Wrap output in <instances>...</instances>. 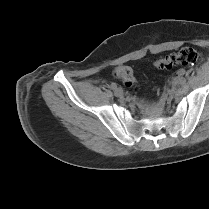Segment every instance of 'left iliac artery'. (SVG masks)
Here are the masks:
<instances>
[{
  "label": "left iliac artery",
  "mask_w": 209,
  "mask_h": 209,
  "mask_svg": "<svg viewBox=\"0 0 209 209\" xmlns=\"http://www.w3.org/2000/svg\"><path fill=\"white\" fill-rule=\"evenodd\" d=\"M177 75H178V76H183V75H184V71H183L182 69H179V70L177 71Z\"/></svg>",
  "instance_id": "obj_1"
}]
</instances>
